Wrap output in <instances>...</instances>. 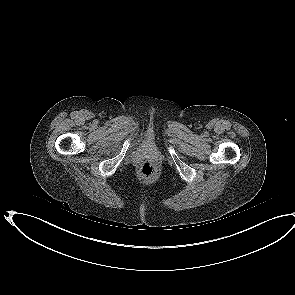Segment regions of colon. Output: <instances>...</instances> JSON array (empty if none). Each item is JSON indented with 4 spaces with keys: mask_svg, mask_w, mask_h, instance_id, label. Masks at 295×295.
Listing matches in <instances>:
<instances>
[{
    "mask_svg": "<svg viewBox=\"0 0 295 295\" xmlns=\"http://www.w3.org/2000/svg\"><path fill=\"white\" fill-rule=\"evenodd\" d=\"M140 174L143 179L151 180L156 175V168L151 163H144L141 166Z\"/></svg>",
    "mask_w": 295,
    "mask_h": 295,
    "instance_id": "obj_1",
    "label": "colon"
}]
</instances>
